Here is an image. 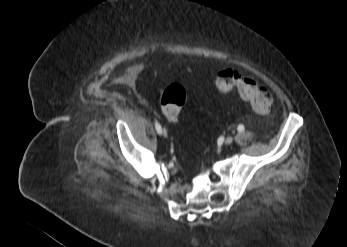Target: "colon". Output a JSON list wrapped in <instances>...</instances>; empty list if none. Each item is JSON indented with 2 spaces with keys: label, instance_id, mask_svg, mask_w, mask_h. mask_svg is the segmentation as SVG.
Returning <instances> with one entry per match:
<instances>
[{
  "label": "colon",
  "instance_id": "5ec220e1",
  "mask_svg": "<svg viewBox=\"0 0 347 247\" xmlns=\"http://www.w3.org/2000/svg\"><path fill=\"white\" fill-rule=\"evenodd\" d=\"M215 85L222 94H227L234 89L238 90L257 113H267L271 108L272 96L269 90L259 86L253 79L244 77L235 70L220 71L216 76ZM186 97V90L177 83L171 84L162 93L160 99L161 110L170 122H178Z\"/></svg>",
  "mask_w": 347,
  "mask_h": 247
}]
</instances>
